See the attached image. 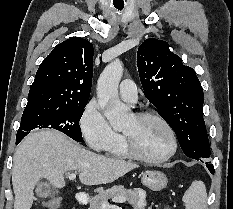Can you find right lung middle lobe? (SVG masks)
<instances>
[{
  "label": "right lung middle lobe",
  "instance_id": "dd1d6c3e",
  "mask_svg": "<svg viewBox=\"0 0 233 209\" xmlns=\"http://www.w3.org/2000/svg\"><path fill=\"white\" fill-rule=\"evenodd\" d=\"M87 102L72 105H29L24 109L17 138H24L35 128L59 130L77 142H82L79 121Z\"/></svg>",
  "mask_w": 233,
  "mask_h": 209
}]
</instances>
